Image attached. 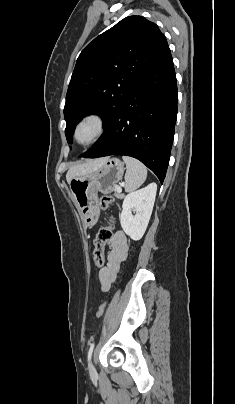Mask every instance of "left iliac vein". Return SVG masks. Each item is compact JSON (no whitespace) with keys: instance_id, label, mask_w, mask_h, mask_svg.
I'll list each match as a JSON object with an SVG mask.
<instances>
[{"instance_id":"obj_1","label":"left iliac vein","mask_w":235,"mask_h":404,"mask_svg":"<svg viewBox=\"0 0 235 404\" xmlns=\"http://www.w3.org/2000/svg\"><path fill=\"white\" fill-rule=\"evenodd\" d=\"M89 371L91 373L95 372V368H94V365L92 363L89 364Z\"/></svg>"}]
</instances>
